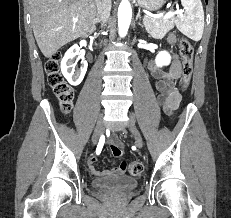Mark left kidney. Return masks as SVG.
<instances>
[{
    "mask_svg": "<svg viewBox=\"0 0 231 218\" xmlns=\"http://www.w3.org/2000/svg\"><path fill=\"white\" fill-rule=\"evenodd\" d=\"M171 56L166 51H161L155 59V63L158 67L167 66L170 64Z\"/></svg>",
    "mask_w": 231,
    "mask_h": 218,
    "instance_id": "left-kidney-1",
    "label": "left kidney"
}]
</instances>
